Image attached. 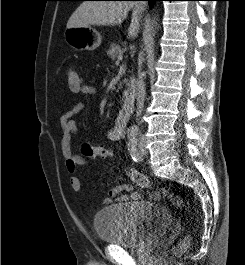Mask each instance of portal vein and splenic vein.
Returning a JSON list of instances; mask_svg holds the SVG:
<instances>
[{"mask_svg":"<svg viewBox=\"0 0 245 265\" xmlns=\"http://www.w3.org/2000/svg\"><path fill=\"white\" fill-rule=\"evenodd\" d=\"M122 59H123V54H119L117 57V62L122 61Z\"/></svg>","mask_w":245,"mask_h":265,"instance_id":"1","label":"portal vein and splenic vein"}]
</instances>
